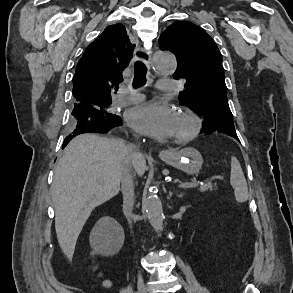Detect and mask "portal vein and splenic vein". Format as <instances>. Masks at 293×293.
<instances>
[{
    "instance_id": "portal-vein-and-splenic-vein-1",
    "label": "portal vein and splenic vein",
    "mask_w": 293,
    "mask_h": 293,
    "mask_svg": "<svg viewBox=\"0 0 293 293\" xmlns=\"http://www.w3.org/2000/svg\"><path fill=\"white\" fill-rule=\"evenodd\" d=\"M197 184L195 182H181L178 185V188H190V187H196Z\"/></svg>"
}]
</instances>
